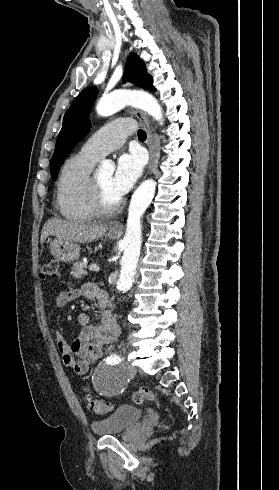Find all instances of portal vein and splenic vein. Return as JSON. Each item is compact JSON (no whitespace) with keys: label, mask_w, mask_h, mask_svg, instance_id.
I'll return each instance as SVG.
<instances>
[{"label":"portal vein and splenic vein","mask_w":279,"mask_h":490,"mask_svg":"<svg viewBox=\"0 0 279 490\" xmlns=\"http://www.w3.org/2000/svg\"><path fill=\"white\" fill-rule=\"evenodd\" d=\"M84 264H87V260H84ZM89 270H92V272H99V268L96 266V264H91V266H89Z\"/></svg>","instance_id":"portal-vein-and-splenic-vein-1"}]
</instances>
